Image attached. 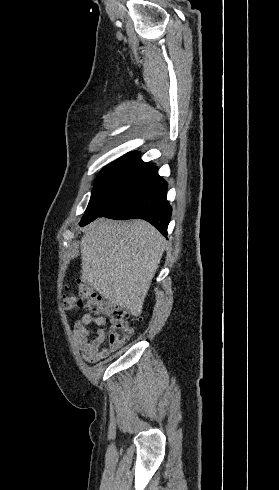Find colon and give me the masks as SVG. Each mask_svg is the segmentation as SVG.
Wrapping results in <instances>:
<instances>
[{"mask_svg": "<svg viewBox=\"0 0 279 490\" xmlns=\"http://www.w3.org/2000/svg\"><path fill=\"white\" fill-rule=\"evenodd\" d=\"M80 303L92 315L108 321L107 334L111 350L120 349L134 334L135 328L128 321L127 314L122 309L105 301L92 289L90 284L80 285L79 297L70 292L63 296V306L69 312L81 307Z\"/></svg>", "mask_w": 279, "mask_h": 490, "instance_id": "obj_1", "label": "colon"}]
</instances>
